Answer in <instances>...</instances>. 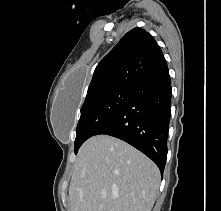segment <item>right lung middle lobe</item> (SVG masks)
I'll return each mask as SVG.
<instances>
[{"instance_id": "obj_1", "label": "right lung middle lobe", "mask_w": 221, "mask_h": 211, "mask_svg": "<svg viewBox=\"0 0 221 211\" xmlns=\"http://www.w3.org/2000/svg\"><path fill=\"white\" fill-rule=\"evenodd\" d=\"M132 92V88H117L85 100L81 108V117L76 128L74 150L105 125L123 107Z\"/></svg>"}]
</instances>
